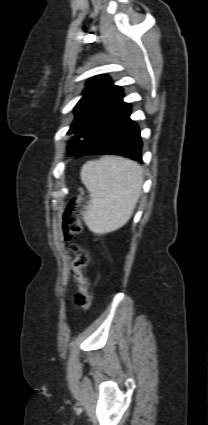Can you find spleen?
<instances>
[{"label": "spleen", "instance_id": "spleen-1", "mask_svg": "<svg viewBox=\"0 0 208 425\" xmlns=\"http://www.w3.org/2000/svg\"><path fill=\"white\" fill-rule=\"evenodd\" d=\"M80 177L90 193L83 217L89 229L106 234L124 226L142 192V167L122 157L105 155L86 162Z\"/></svg>", "mask_w": 208, "mask_h": 425}]
</instances>
